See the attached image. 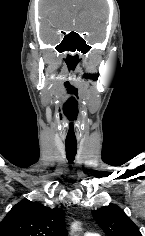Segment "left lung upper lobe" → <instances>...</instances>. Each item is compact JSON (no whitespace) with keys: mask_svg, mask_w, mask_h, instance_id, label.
I'll return each mask as SVG.
<instances>
[{"mask_svg":"<svg viewBox=\"0 0 145 236\" xmlns=\"http://www.w3.org/2000/svg\"><path fill=\"white\" fill-rule=\"evenodd\" d=\"M92 214L107 236H142L138 227L118 206L102 207Z\"/></svg>","mask_w":145,"mask_h":236,"instance_id":"1","label":"left lung upper lobe"}]
</instances>
